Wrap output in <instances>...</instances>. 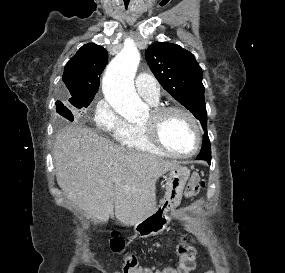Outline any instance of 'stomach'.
Instances as JSON below:
<instances>
[{
  "instance_id": "0dacf381",
  "label": "stomach",
  "mask_w": 285,
  "mask_h": 273,
  "mask_svg": "<svg viewBox=\"0 0 285 273\" xmlns=\"http://www.w3.org/2000/svg\"><path fill=\"white\" fill-rule=\"evenodd\" d=\"M190 176V170L185 166H177L169 171L164 198L154 213L135 224V229L142 235H154L159 232L152 228L154 221H169L168 212L174 210L180 203L185 184ZM146 228V231L144 229Z\"/></svg>"
}]
</instances>
